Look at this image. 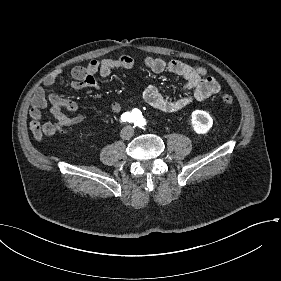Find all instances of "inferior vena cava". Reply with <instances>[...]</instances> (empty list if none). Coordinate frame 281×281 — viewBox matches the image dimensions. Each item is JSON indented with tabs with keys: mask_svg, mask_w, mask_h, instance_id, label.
<instances>
[{
	"mask_svg": "<svg viewBox=\"0 0 281 281\" xmlns=\"http://www.w3.org/2000/svg\"><path fill=\"white\" fill-rule=\"evenodd\" d=\"M132 135H133V130L130 126H125L120 131V136L124 140L130 139Z\"/></svg>",
	"mask_w": 281,
	"mask_h": 281,
	"instance_id": "602c4592",
	"label": "inferior vena cava"
}]
</instances>
